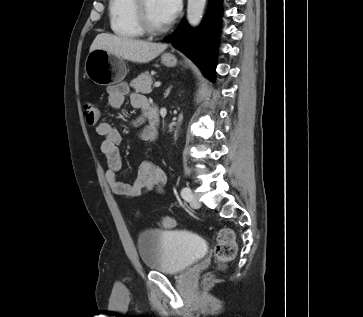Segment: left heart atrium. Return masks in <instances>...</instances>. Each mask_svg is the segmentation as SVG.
Segmentation results:
<instances>
[{"instance_id": "39dd6f15", "label": "left heart atrium", "mask_w": 363, "mask_h": 317, "mask_svg": "<svg viewBox=\"0 0 363 317\" xmlns=\"http://www.w3.org/2000/svg\"><path fill=\"white\" fill-rule=\"evenodd\" d=\"M159 9L166 24L172 22L177 16L181 0H158Z\"/></svg>"}]
</instances>
